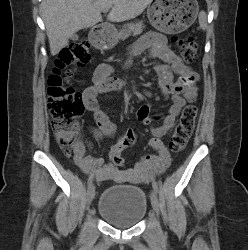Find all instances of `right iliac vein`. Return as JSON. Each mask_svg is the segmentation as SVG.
Listing matches in <instances>:
<instances>
[{
    "label": "right iliac vein",
    "instance_id": "obj_1",
    "mask_svg": "<svg viewBox=\"0 0 248 250\" xmlns=\"http://www.w3.org/2000/svg\"><path fill=\"white\" fill-rule=\"evenodd\" d=\"M95 195V186L91 184L88 189H87V194H86V204L89 206L94 198Z\"/></svg>",
    "mask_w": 248,
    "mask_h": 250
}]
</instances>
